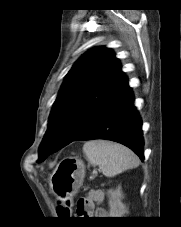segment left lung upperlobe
I'll list each match as a JSON object with an SVG mask.
<instances>
[{
  "instance_id": "obj_1",
  "label": "left lung upper lobe",
  "mask_w": 181,
  "mask_h": 227,
  "mask_svg": "<svg viewBox=\"0 0 181 227\" xmlns=\"http://www.w3.org/2000/svg\"><path fill=\"white\" fill-rule=\"evenodd\" d=\"M125 81L118 59L108 48L91 49L77 60L53 105L37 162L73 142L96 109Z\"/></svg>"
}]
</instances>
